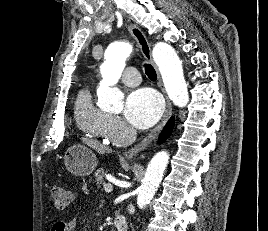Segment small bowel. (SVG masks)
<instances>
[{"label": "small bowel", "instance_id": "1", "mask_svg": "<svg viewBox=\"0 0 268 231\" xmlns=\"http://www.w3.org/2000/svg\"><path fill=\"white\" fill-rule=\"evenodd\" d=\"M78 224V216L69 220H58L53 224L51 231H78Z\"/></svg>", "mask_w": 268, "mask_h": 231}]
</instances>
